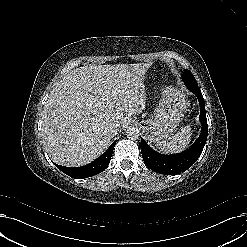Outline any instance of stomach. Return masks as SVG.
<instances>
[{
    "mask_svg": "<svg viewBox=\"0 0 247 247\" xmlns=\"http://www.w3.org/2000/svg\"><path fill=\"white\" fill-rule=\"evenodd\" d=\"M187 112L185 95L176 88L163 89L154 115L143 120L142 129L150 142L167 139Z\"/></svg>",
    "mask_w": 247,
    "mask_h": 247,
    "instance_id": "obj_1",
    "label": "stomach"
}]
</instances>
